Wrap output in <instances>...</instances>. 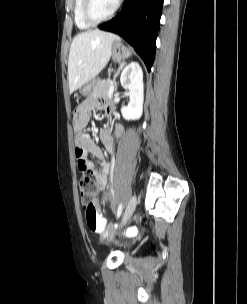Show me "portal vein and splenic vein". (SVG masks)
<instances>
[{
  "instance_id": "1",
  "label": "portal vein and splenic vein",
  "mask_w": 247,
  "mask_h": 304,
  "mask_svg": "<svg viewBox=\"0 0 247 304\" xmlns=\"http://www.w3.org/2000/svg\"><path fill=\"white\" fill-rule=\"evenodd\" d=\"M113 85H111V87H110V90H109V93L111 94L112 92H113Z\"/></svg>"
}]
</instances>
